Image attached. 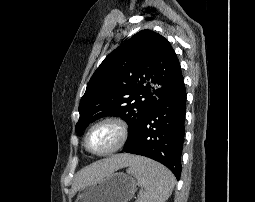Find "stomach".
I'll return each mask as SVG.
<instances>
[{
    "instance_id": "0dacf381",
    "label": "stomach",
    "mask_w": 255,
    "mask_h": 202,
    "mask_svg": "<svg viewBox=\"0 0 255 202\" xmlns=\"http://www.w3.org/2000/svg\"><path fill=\"white\" fill-rule=\"evenodd\" d=\"M136 189V180L123 172H115L81 187L75 202H128Z\"/></svg>"
}]
</instances>
